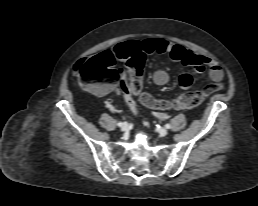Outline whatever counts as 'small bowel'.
Returning a JSON list of instances; mask_svg holds the SVG:
<instances>
[{
    "instance_id": "small-bowel-1",
    "label": "small bowel",
    "mask_w": 258,
    "mask_h": 206,
    "mask_svg": "<svg viewBox=\"0 0 258 206\" xmlns=\"http://www.w3.org/2000/svg\"><path fill=\"white\" fill-rule=\"evenodd\" d=\"M113 57L122 60H130L136 56L146 54H169L171 58L183 65L190 66L196 73L208 70L210 79L213 82H220L223 79V70L218 63L205 55L198 54L184 46L173 44L163 38H146L142 41L131 39L117 44L112 51H105ZM153 81L157 85H165L169 81V74L165 69H159L153 74ZM193 84L191 74L184 73L179 77V85L183 89H188ZM114 90L113 86H105L98 90L99 95L107 94ZM107 108L112 112H118L111 99L106 102ZM157 118L164 120L167 114L163 111H156Z\"/></svg>"
}]
</instances>
